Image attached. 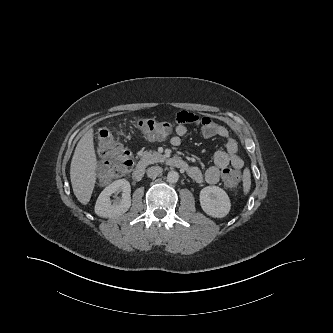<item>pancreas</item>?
<instances>
[{
    "mask_svg": "<svg viewBox=\"0 0 333 333\" xmlns=\"http://www.w3.org/2000/svg\"><path fill=\"white\" fill-rule=\"evenodd\" d=\"M164 159H165V156L156 151H144L141 154V160L145 164H154V163L162 162Z\"/></svg>",
    "mask_w": 333,
    "mask_h": 333,
    "instance_id": "pancreas-1",
    "label": "pancreas"
}]
</instances>
